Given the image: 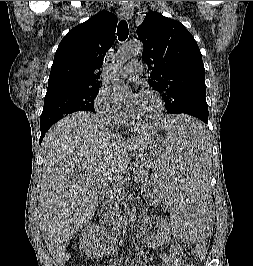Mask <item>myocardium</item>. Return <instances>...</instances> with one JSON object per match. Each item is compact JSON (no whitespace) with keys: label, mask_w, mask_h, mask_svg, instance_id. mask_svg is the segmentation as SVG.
<instances>
[{"label":"myocardium","mask_w":253,"mask_h":266,"mask_svg":"<svg viewBox=\"0 0 253 266\" xmlns=\"http://www.w3.org/2000/svg\"><path fill=\"white\" fill-rule=\"evenodd\" d=\"M140 94L149 95V96H151V97H153L155 99V101H156V103L158 105L157 115L155 116V118L151 122L146 123V124H138V123H136V121L129 115L128 116L129 125L132 128L137 129V130H146V129L154 128L160 123V121L163 118L164 109H165L164 102H163L162 98L160 97V95L158 93H156L155 91H153V90H144Z\"/></svg>","instance_id":"myocardium-1"}]
</instances>
